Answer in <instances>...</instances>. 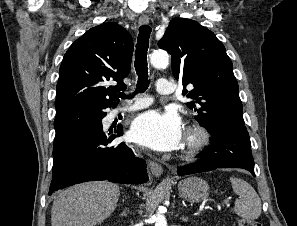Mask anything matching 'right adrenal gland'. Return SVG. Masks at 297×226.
Wrapping results in <instances>:
<instances>
[{"label":"right adrenal gland","instance_id":"1","mask_svg":"<svg viewBox=\"0 0 297 226\" xmlns=\"http://www.w3.org/2000/svg\"><path fill=\"white\" fill-rule=\"evenodd\" d=\"M126 200V198H124L122 201L124 202ZM129 212V209L126 211V210H124L122 213H121V215L122 216H127V213Z\"/></svg>","mask_w":297,"mask_h":226}]
</instances>
